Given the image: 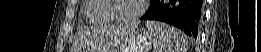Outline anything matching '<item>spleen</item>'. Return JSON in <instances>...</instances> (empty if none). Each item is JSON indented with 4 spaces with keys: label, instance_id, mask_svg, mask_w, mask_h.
Returning a JSON list of instances; mask_svg holds the SVG:
<instances>
[{
    "label": "spleen",
    "instance_id": "spleen-1",
    "mask_svg": "<svg viewBox=\"0 0 261 52\" xmlns=\"http://www.w3.org/2000/svg\"><path fill=\"white\" fill-rule=\"evenodd\" d=\"M146 27L153 40L154 52H185L187 37L165 23L147 21Z\"/></svg>",
    "mask_w": 261,
    "mask_h": 52
}]
</instances>
